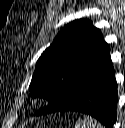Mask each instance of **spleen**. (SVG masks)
I'll use <instances>...</instances> for the list:
<instances>
[{"mask_svg": "<svg viewBox=\"0 0 125 128\" xmlns=\"http://www.w3.org/2000/svg\"><path fill=\"white\" fill-rule=\"evenodd\" d=\"M75 128H103V126L97 123L95 119L91 117H85L83 120L79 119L75 123Z\"/></svg>", "mask_w": 125, "mask_h": 128, "instance_id": "spleen-1", "label": "spleen"}]
</instances>
